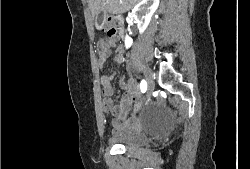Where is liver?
I'll return each instance as SVG.
<instances>
[{"instance_id":"liver-1","label":"liver","mask_w":250,"mask_h":169,"mask_svg":"<svg viewBox=\"0 0 250 169\" xmlns=\"http://www.w3.org/2000/svg\"><path fill=\"white\" fill-rule=\"evenodd\" d=\"M139 0H88V6L91 10L92 16H96L99 12L107 14H121V12H127L134 4H137Z\"/></svg>"}]
</instances>
